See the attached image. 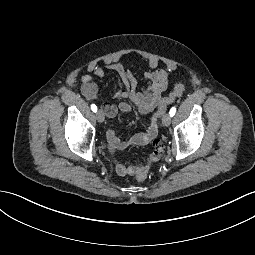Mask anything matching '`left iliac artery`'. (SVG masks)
<instances>
[{"instance_id":"44dca946","label":"left iliac artery","mask_w":255,"mask_h":255,"mask_svg":"<svg viewBox=\"0 0 255 255\" xmlns=\"http://www.w3.org/2000/svg\"><path fill=\"white\" fill-rule=\"evenodd\" d=\"M175 113H176V108H175V107H172V108L170 109V112H169L170 116H171V117L174 116Z\"/></svg>"}]
</instances>
